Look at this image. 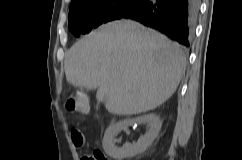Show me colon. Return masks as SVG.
Here are the masks:
<instances>
[{
  "label": "colon",
  "mask_w": 242,
  "mask_h": 160,
  "mask_svg": "<svg viewBox=\"0 0 242 160\" xmlns=\"http://www.w3.org/2000/svg\"><path fill=\"white\" fill-rule=\"evenodd\" d=\"M66 109L70 113H80V114H88L89 113V105L85 95L81 92H75L71 94L66 100ZM73 135L75 138H79L80 134L77 129L73 130ZM86 160H108L105 154L101 151L96 150L92 155H88Z\"/></svg>",
  "instance_id": "5ec220e1"
}]
</instances>
